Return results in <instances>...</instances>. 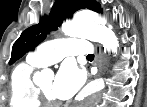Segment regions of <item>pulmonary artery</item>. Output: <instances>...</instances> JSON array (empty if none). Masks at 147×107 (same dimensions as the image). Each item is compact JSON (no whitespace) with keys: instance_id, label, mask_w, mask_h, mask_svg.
Returning a JSON list of instances; mask_svg holds the SVG:
<instances>
[{"instance_id":"1","label":"pulmonary artery","mask_w":147,"mask_h":107,"mask_svg":"<svg viewBox=\"0 0 147 107\" xmlns=\"http://www.w3.org/2000/svg\"><path fill=\"white\" fill-rule=\"evenodd\" d=\"M91 52V44L87 40L61 38L40 45L30 54L29 59L41 66H48L59 62L65 56Z\"/></svg>"}]
</instances>
